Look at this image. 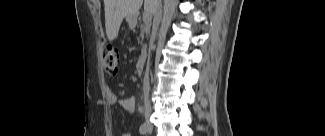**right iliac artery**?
Segmentation results:
<instances>
[{"label": "right iliac artery", "instance_id": "right-iliac-artery-1", "mask_svg": "<svg viewBox=\"0 0 325 136\" xmlns=\"http://www.w3.org/2000/svg\"><path fill=\"white\" fill-rule=\"evenodd\" d=\"M141 134H146L147 133V125L146 123L142 124L139 129Z\"/></svg>", "mask_w": 325, "mask_h": 136}]
</instances>
